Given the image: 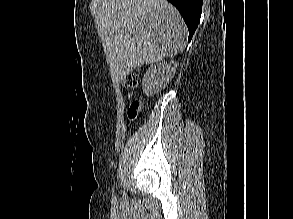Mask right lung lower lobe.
<instances>
[{
    "mask_svg": "<svg viewBox=\"0 0 293 219\" xmlns=\"http://www.w3.org/2000/svg\"><path fill=\"white\" fill-rule=\"evenodd\" d=\"M168 1L172 3L182 15L189 30V41H190L200 21L203 0H168Z\"/></svg>",
    "mask_w": 293,
    "mask_h": 219,
    "instance_id": "right-lung-lower-lobe-1",
    "label": "right lung lower lobe"
}]
</instances>
